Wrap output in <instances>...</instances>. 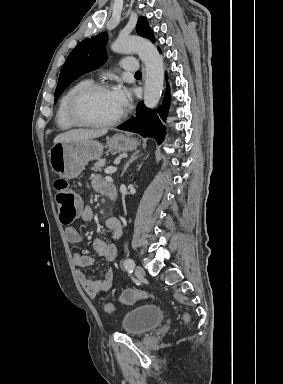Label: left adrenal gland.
<instances>
[{
    "label": "left adrenal gland",
    "mask_w": 283,
    "mask_h": 384,
    "mask_svg": "<svg viewBox=\"0 0 283 384\" xmlns=\"http://www.w3.org/2000/svg\"><path fill=\"white\" fill-rule=\"evenodd\" d=\"M137 154H139V150H136V152H134V154H132L129 162H127V164H125V166L123 168V172L121 174V178H122L123 174H125V172H127V168H129L130 164H132V162H134V160H137V158H139V156H137Z\"/></svg>",
    "instance_id": "a2214340"
}]
</instances>
